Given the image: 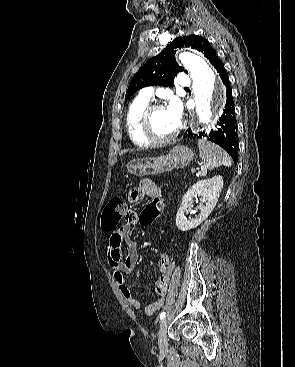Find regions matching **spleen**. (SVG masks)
<instances>
[{
  "label": "spleen",
  "mask_w": 295,
  "mask_h": 367,
  "mask_svg": "<svg viewBox=\"0 0 295 367\" xmlns=\"http://www.w3.org/2000/svg\"><path fill=\"white\" fill-rule=\"evenodd\" d=\"M199 154L202 159V172L212 170L220 166L230 167L232 165L229 155L219 146L206 141H198Z\"/></svg>",
  "instance_id": "spleen-1"
}]
</instances>
